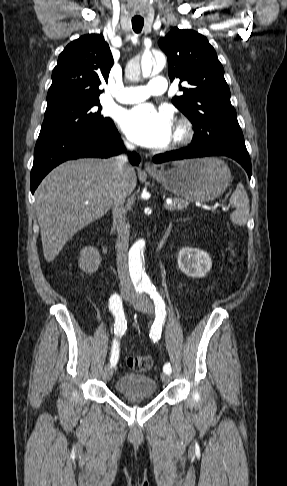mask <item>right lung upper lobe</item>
I'll return each mask as SVG.
<instances>
[{
	"instance_id": "1",
	"label": "right lung upper lobe",
	"mask_w": 287,
	"mask_h": 486,
	"mask_svg": "<svg viewBox=\"0 0 287 486\" xmlns=\"http://www.w3.org/2000/svg\"><path fill=\"white\" fill-rule=\"evenodd\" d=\"M113 57L102 34L83 35L69 43L52 72L47 107L99 99V85L108 81Z\"/></svg>"
}]
</instances>
